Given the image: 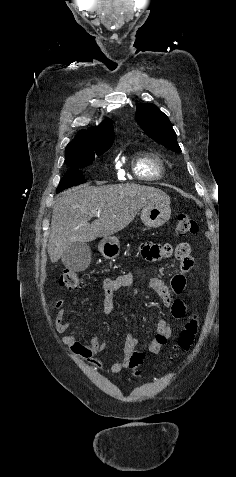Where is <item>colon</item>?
Masks as SVG:
<instances>
[{
    "label": "colon",
    "instance_id": "5ec220e1",
    "mask_svg": "<svg viewBox=\"0 0 236 477\" xmlns=\"http://www.w3.org/2000/svg\"><path fill=\"white\" fill-rule=\"evenodd\" d=\"M175 232L180 237L194 235L198 232L197 222L186 216H178L175 223ZM185 252V251H183ZM60 285L68 289H78L84 285V280L74 271L65 270L60 276ZM198 330V322L190 320L179 337L181 350L187 351L192 346ZM144 359V354L136 352L131 355L130 367H138Z\"/></svg>",
    "mask_w": 236,
    "mask_h": 477
}]
</instances>
